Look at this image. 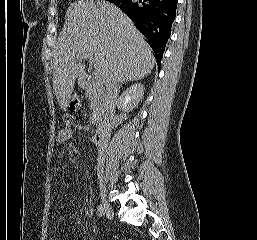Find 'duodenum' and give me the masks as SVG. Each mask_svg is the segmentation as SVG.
I'll use <instances>...</instances> for the list:
<instances>
[{
	"label": "duodenum",
	"instance_id": "duodenum-1",
	"mask_svg": "<svg viewBox=\"0 0 257 240\" xmlns=\"http://www.w3.org/2000/svg\"><path fill=\"white\" fill-rule=\"evenodd\" d=\"M109 135V128L103 123H99L95 133L93 135V143L98 148L101 149L104 147Z\"/></svg>",
	"mask_w": 257,
	"mask_h": 240
}]
</instances>
